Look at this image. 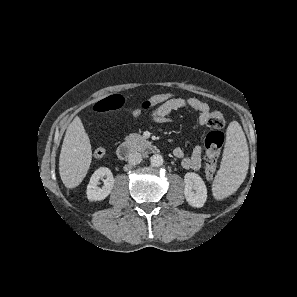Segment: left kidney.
Returning <instances> with one entry per match:
<instances>
[{
  "label": "left kidney",
  "instance_id": "obj_1",
  "mask_svg": "<svg viewBox=\"0 0 297 297\" xmlns=\"http://www.w3.org/2000/svg\"><path fill=\"white\" fill-rule=\"evenodd\" d=\"M184 195L189 205L201 208L207 200V188L202 178L194 173L188 172L184 176Z\"/></svg>",
  "mask_w": 297,
  "mask_h": 297
}]
</instances>
